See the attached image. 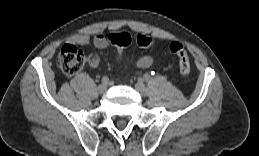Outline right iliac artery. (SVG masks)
I'll return each instance as SVG.
<instances>
[{
    "instance_id": "right-iliac-artery-1",
    "label": "right iliac artery",
    "mask_w": 259,
    "mask_h": 156,
    "mask_svg": "<svg viewBox=\"0 0 259 156\" xmlns=\"http://www.w3.org/2000/svg\"><path fill=\"white\" fill-rule=\"evenodd\" d=\"M102 82L105 83V84H107V83L109 82V78H108L107 76H104V77L102 78Z\"/></svg>"
}]
</instances>
